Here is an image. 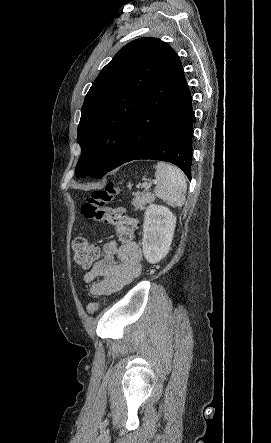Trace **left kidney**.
<instances>
[{"label": "left kidney", "instance_id": "obj_1", "mask_svg": "<svg viewBox=\"0 0 271 443\" xmlns=\"http://www.w3.org/2000/svg\"><path fill=\"white\" fill-rule=\"evenodd\" d=\"M176 216L165 206H148L143 223V253L149 263H158L171 249Z\"/></svg>", "mask_w": 271, "mask_h": 443}]
</instances>
